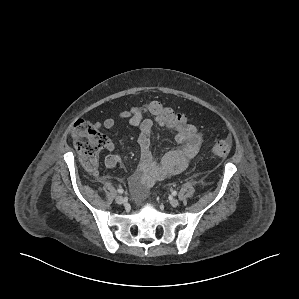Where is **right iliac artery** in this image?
I'll return each mask as SVG.
<instances>
[{
	"instance_id": "right-iliac-artery-1",
	"label": "right iliac artery",
	"mask_w": 299,
	"mask_h": 299,
	"mask_svg": "<svg viewBox=\"0 0 299 299\" xmlns=\"http://www.w3.org/2000/svg\"><path fill=\"white\" fill-rule=\"evenodd\" d=\"M117 191H118V193H120V194L124 193V190L121 189V188H119Z\"/></svg>"
}]
</instances>
